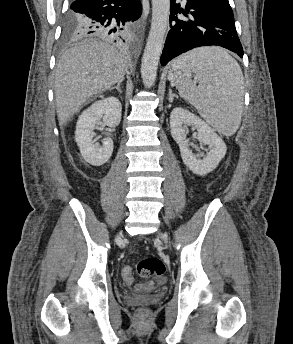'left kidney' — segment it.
Instances as JSON below:
<instances>
[{
  "instance_id": "left-kidney-1",
  "label": "left kidney",
  "mask_w": 293,
  "mask_h": 344,
  "mask_svg": "<svg viewBox=\"0 0 293 344\" xmlns=\"http://www.w3.org/2000/svg\"><path fill=\"white\" fill-rule=\"evenodd\" d=\"M188 126H193L198 131V139L208 145L209 153L200 159L192 153L186 142ZM171 135L179 145L184 164L200 176L212 172L225 156L227 147L220 136L201 118L190 111L177 107L170 115Z\"/></svg>"
}]
</instances>
